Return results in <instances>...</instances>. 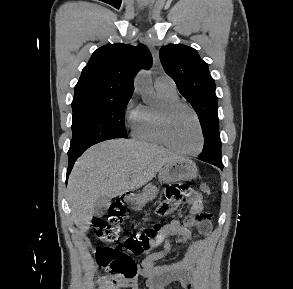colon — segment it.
Masks as SVG:
<instances>
[{
	"label": "colon",
	"mask_w": 293,
	"mask_h": 289,
	"mask_svg": "<svg viewBox=\"0 0 293 289\" xmlns=\"http://www.w3.org/2000/svg\"><path fill=\"white\" fill-rule=\"evenodd\" d=\"M200 190L204 194H210L209 185L203 183ZM189 191L186 184H170L166 187V200L158 208V214L168 215L180 204L185 193ZM125 214L120 204H112L105 217L95 218L93 229L97 238L104 242L114 243L120 238V223ZM160 235V226H154L128 236L122 243V251L105 247L97 253V261L108 272L106 283L112 285L120 277H133L137 272V266L132 255H139L150 250L157 242Z\"/></svg>",
	"instance_id": "5ec220e1"
}]
</instances>
